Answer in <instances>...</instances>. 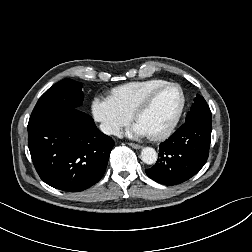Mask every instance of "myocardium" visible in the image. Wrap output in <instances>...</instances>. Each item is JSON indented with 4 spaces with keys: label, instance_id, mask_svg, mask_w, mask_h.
Returning <instances> with one entry per match:
<instances>
[{
    "label": "myocardium",
    "instance_id": "f54148a6",
    "mask_svg": "<svg viewBox=\"0 0 252 252\" xmlns=\"http://www.w3.org/2000/svg\"><path fill=\"white\" fill-rule=\"evenodd\" d=\"M168 87H176L179 89L181 93V104L180 107L172 121V123L163 131L156 133V134H151V137L156 140L164 139L169 137L176 129L177 125L179 124L181 117L184 113L185 107H186V94L182 86L178 83L175 82H166L154 89H152L141 101L140 103L136 106L133 115L134 118L137 120L138 117L141 115L142 112H144L146 109L150 107L152 102L154 101L155 97L159 92H161L163 89L168 88Z\"/></svg>",
    "mask_w": 252,
    "mask_h": 252
}]
</instances>
